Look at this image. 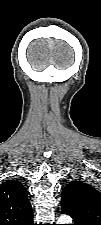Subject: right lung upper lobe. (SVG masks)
<instances>
[{
	"mask_svg": "<svg viewBox=\"0 0 101 225\" xmlns=\"http://www.w3.org/2000/svg\"><path fill=\"white\" fill-rule=\"evenodd\" d=\"M0 225H34L28 191L17 180L0 186Z\"/></svg>",
	"mask_w": 101,
	"mask_h": 225,
	"instance_id": "right-lung-upper-lobe-1",
	"label": "right lung upper lobe"
}]
</instances>
